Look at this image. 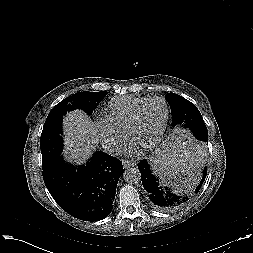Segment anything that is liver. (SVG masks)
Listing matches in <instances>:
<instances>
[{"mask_svg": "<svg viewBox=\"0 0 253 253\" xmlns=\"http://www.w3.org/2000/svg\"><path fill=\"white\" fill-rule=\"evenodd\" d=\"M63 129L67 160L80 163L89 158L96 144V132L91 119L82 111H74L65 116Z\"/></svg>", "mask_w": 253, "mask_h": 253, "instance_id": "obj_1", "label": "liver"}]
</instances>
